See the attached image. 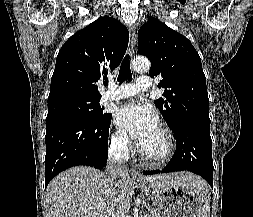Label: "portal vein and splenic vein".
<instances>
[{"mask_svg": "<svg viewBox=\"0 0 253 217\" xmlns=\"http://www.w3.org/2000/svg\"><path fill=\"white\" fill-rule=\"evenodd\" d=\"M145 217H151L150 215H146Z\"/></svg>", "mask_w": 253, "mask_h": 217, "instance_id": "portal-vein-and-splenic-vein-1", "label": "portal vein and splenic vein"}]
</instances>
